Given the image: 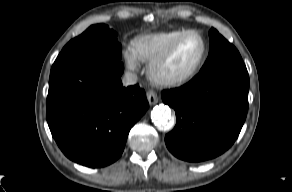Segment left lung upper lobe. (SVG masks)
<instances>
[{
  "mask_svg": "<svg viewBox=\"0 0 292 192\" xmlns=\"http://www.w3.org/2000/svg\"><path fill=\"white\" fill-rule=\"evenodd\" d=\"M209 37L210 52L200 72L224 66L244 65L238 50L221 36L217 30L211 28Z\"/></svg>",
  "mask_w": 292,
  "mask_h": 192,
  "instance_id": "obj_1",
  "label": "left lung upper lobe"
}]
</instances>
